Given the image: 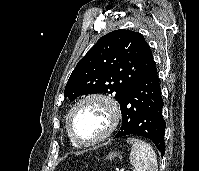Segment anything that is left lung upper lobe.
<instances>
[{
	"instance_id": "left-lung-upper-lobe-1",
	"label": "left lung upper lobe",
	"mask_w": 199,
	"mask_h": 171,
	"mask_svg": "<svg viewBox=\"0 0 199 171\" xmlns=\"http://www.w3.org/2000/svg\"><path fill=\"white\" fill-rule=\"evenodd\" d=\"M154 62L140 33L119 29L101 37L78 62L65 87V97L108 93L121 103L136 80Z\"/></svg>"
}]
</instances>
